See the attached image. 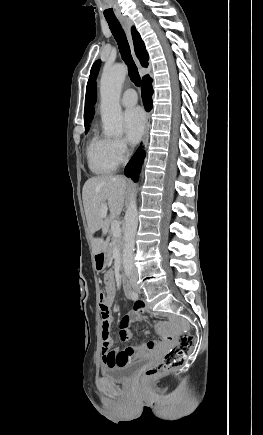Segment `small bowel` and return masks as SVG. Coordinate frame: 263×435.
Listing matches in <instances>:
<instances>
[{"label": "small bowel", "instance_id": "1", "mask_svg": "<svg viewBox=\"0 0 263 435\" xmlns=\"http://www.w3.org/2000/svg\"><path fill=\"white\" fill-rule=\"evenodd\" d=\"M105 294L104 299L100 302V313L103 328H111L113 316L111 308L116 298L115 275L113 271H108L105 274ZM135 312L123 316L119 322V337L122 341H127L131 338L130 324L140 320V312L144 311V305L137 302L134 306ZM157 329L163 332L164 324H158ZM175 338L173 336H161L159 341H149L146 344L138 345L134 348L124 350H102V361L106 366H120L134 361L154 357L162 353L167 345H173Z\"/></svg>", "mask_w": 263, "mask_h": 435}]
</instances>
